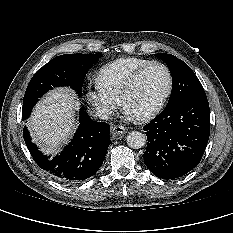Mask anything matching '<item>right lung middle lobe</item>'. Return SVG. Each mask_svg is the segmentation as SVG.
<instances>
[{
	"label": "right lung middle lobe",
	"mask_w": 233,
	"mask_h": 233,
	"mask_svg": "<svg viewBox=\"0 0 233 233\" xmlns=\"http://www.w3.org/2000/svg\"><path fill=\"white\" fill-rule=\"evenodd\" d=\"M101 54H65L53 58L32 77L26 89L22 119H27L33 106L53 87L70 86L78 95L82 93L85 76Z\"/></svg>",
	"instance_id": "right-lung-middle-lobe-1"
}]
</instances>
